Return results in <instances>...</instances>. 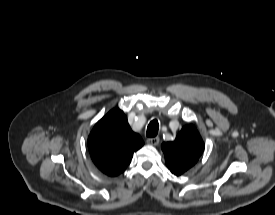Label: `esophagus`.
<instances>
[{"mask_svg":"<svg viewBox=\"0 0 275 215\" xmlns=\"http://www.w3.org/2000/svg\"><path fill=\"white\" fill-rule=\"evenodd\" d=\"M159 141H160L159 137H153V138H148L146 142L152 146H157L159 144Z\"/></svg>","mask_w":275,"mask_h":215,"instance_id":"esophagus-1","label":"esophagus"}]
</instances>
